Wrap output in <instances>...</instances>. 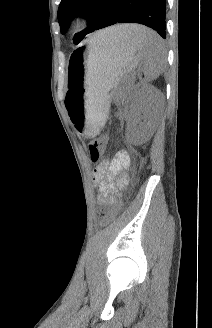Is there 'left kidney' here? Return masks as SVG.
Listing matches in <instances>:
<instances>
[{"instance_id":"1","label":"left kidney","mask_w":212,"mask_h":328,"mask_svg":"<svg viewBox=\"0 0 212 328\" xmlns=\"http://www.w3.org/2000/svg\"><path fill=\"white\" fill-rule=\"evenodd\" d=\"M161 102V93L152 86L143 87L136 93L127 121L132 141L140 144L151 138L156 129ZM141 120L144 122L140 123Z\"/></svg>"}]
</instances>
